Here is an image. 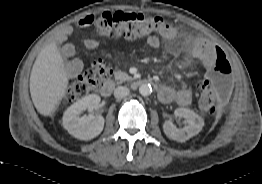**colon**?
<instances>
[{
  "label": "colon",
  "instance_id": "obj_1",
  "mask_svg": "<svg viewBox=\"0 0 262 184\" xmlns=\"http://www.w3.org/2000/svg\"><path fill=\"white\" fill-rule=\"evenodd\" d=\"M81 26H94L102 37L135 40L160 32L166 23L159 16H146L142 13L122 11L103 12L83 17ZM214 70L216 76L198 84L199 107L207 114L223 111L232 91L231 66L220 48H215ZM111 69L105 61L98 59L85 69L68 87L66 99L75 101L97 91L111 76Z\"/></svg>",
  "mask_w": 262,
  "mask_h": 184
}]
</instances>
